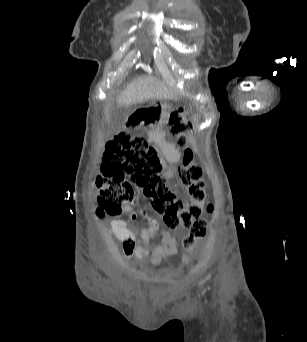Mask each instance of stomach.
Masks as SVG:
<instances>
[{
  "label": "stomach",
  "mask_w": 307,
  "mask_h": 342,
  "mask_svg": "<svg viewBox=\"0 0 307 342\" xmlns=\"http://www.w3.org/2000/svg\"><path fill=\"white\" fill-rule=\"evenodd\" d=\"M170 114L171 107L166 103H162L160 107L139 109L132 112L128 118V123L136 129L147 125L149 129L154 130L167 124Z\"/></svg>",
  "instance_id": "1"
}]
</instances>
